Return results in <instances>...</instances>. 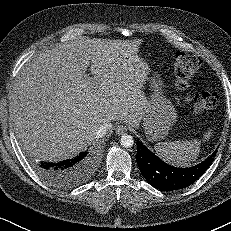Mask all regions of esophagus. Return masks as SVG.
Wrapping results in <instances>:
<instances>
[{"mask_svg":"<svg viewBox=\"0 0 231 231\" xmlns=\"http://www.w3.org/2000/svg\"><path fill=\"white\" fill-rule=\"evenodd\" d=\"M116 134L118 135H123L124 133L127 132V128L124 125H118L115 129Z\"/></svg>","mask_w":231,"mask_h":231,"instance_id":"esophagus-1","label":"esophagus"}]
</instances>
